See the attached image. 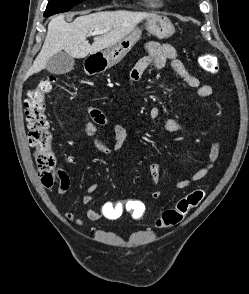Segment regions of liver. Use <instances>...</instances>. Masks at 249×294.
Masks as SVG:
<instances>
[{"instance_id":"obj_1","label":"liver","mask_w":249,"mask_h":294,"mask_svg":"<svg viewBox=\"0 0 249 294\" xmlns=\"http://www.w3.org/2000/svg\"><path fill=\"white\" fill-rule=\"evenodd\" d=\"M151 16L150 13L125 10L99 11L79 16L71 23L65 21L64 15L56 16L48 24L43 47L27 76L45 69L48 60L62 50L73 58L82 59L111 47L131 33L139 22ZM89 31L101 32L92 45L86 39Z\"/></svg>"}]
</instances>
